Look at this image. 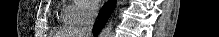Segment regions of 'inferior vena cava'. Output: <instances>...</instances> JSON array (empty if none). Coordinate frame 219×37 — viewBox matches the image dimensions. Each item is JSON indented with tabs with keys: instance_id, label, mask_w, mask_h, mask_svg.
Segmentation results:
<instances>
[{
	"instance_id": "obj_1",
	"label": "inferior vena cava",
	"mask_w": 219,
	"mask_h": 37,
	"mask_svg": "<svg viewBox=\"0 0 219 37\" xmlns=\"http://www.w3.org/2000/svg\"><path fill=\"white\" fill-rule=\"evenodd\" d=\"M98 11L99 7L96 5H92L88 8L85 25L80 32V34H82L84 37H91L92 27L97 18Z\"/></svg>"
}]
</instances>
